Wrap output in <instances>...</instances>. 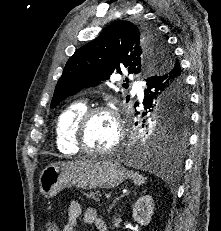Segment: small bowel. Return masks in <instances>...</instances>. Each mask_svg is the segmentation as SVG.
Masks as SVG:
<instances>
[{
    "instance_id": "small-bowel-1",
    "label": "small bowel",
    "mask_w": 221,
    "mask_h": 231,
    "mask_svg": "<svg viewBox=\"0 0 221 231\" xmlns=\"http://www.w3.org/2000/svg\"><path fill=\"white\" fill-rule=\"evenodd\" d=\"M81 212V204L77 200H72L67 210V222L62 231H75ZM84 219L87 224L93 226L97 231H107L106 223L97 216L94 209H88L85 213Z\"/></svg>"
}]
</instances>
